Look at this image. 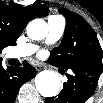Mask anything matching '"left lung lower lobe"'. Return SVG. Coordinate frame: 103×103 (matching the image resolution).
Returning a JSON list of instances; mask_svg holds the SVG:
<instances>
[{"label": "left lung lower lobe", "instance_id": "1", "mask_svg": "<svg viewBox=\"0 0 103 103\" xmlns=\"http://www.w3.org/2000/svg\"><path fill=\"white\" fill-rule=\"evenodd\" d=\"M103 57L90 56L70 69L68 81L57 97L45 99V103H85L93 94L102 73Z\"/></svg>", "mask_w": 103, "mask_h": 103}]
</instances>
